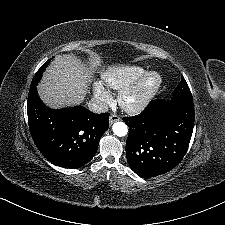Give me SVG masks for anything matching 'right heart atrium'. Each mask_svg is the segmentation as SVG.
Instances as JSON below:
<instances>
[{"label":"right heart atrium","mask_w":225,"mask_h":225,"mask_svg":"<svg viewBox=\"0 0 225 225\" xmlns=\"http://www.w3.org/2000/svg\"><path fill=\"white\" fill-rule=\"evenodd\" d=\"M92 91L94 94V97L101 101L102 103H105L109 99V93L106 89V87L99 81H95L92 85Z\"/></svg>","instance_id":"right-heart-atrium-1"}]
</instances>
